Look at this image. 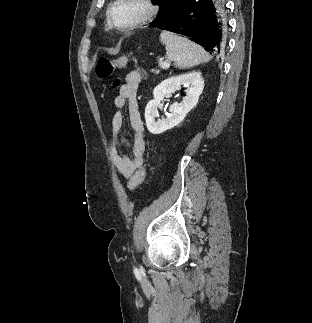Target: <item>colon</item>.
<instances>
[{"mask_svg":"<svg viewBox=\"0 0 312 323\" xmlns=\"http://www.w3.org/2000/svg\"><path fill=\"white\" fill-rule=\"evenodd\" d=\"M128 63L126 56H120L116 60H110L108 58H100L96 65V73L101 77L109 76L115 68L126 67ZM120 80L116 79L113 82L115 87L119 86ZM147 167L144 166L139 169L131 180V184H127V191H134L135 187H137L140 183H142L146 177Z\"/></svg>","mask_w":312,"mask_h":323,"instance_id":"colon-1","label":"colon"}]
</instances>
